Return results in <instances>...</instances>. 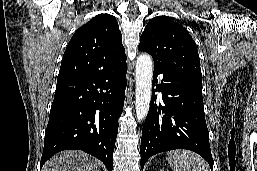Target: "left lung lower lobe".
I'll return each mask as SVG.
<instances>
[{
	"label": "left lung lower lobe",
	"instance_id": "left-lung-lower-lobe-1",
	"mask_svg": "<svg viewBox=\"0 0 257 171\" xmlns=\"http://www.w3.org/2000/svg\"><path fill=\"white\" fill-rule=\"evenodd\" d=\"M163 74L161 85L156 79ZM152 100L141 138V168L154 154L188 149L201 155L213 169L209 132L205 121L202 84L183 72L154 64ZM162 91L163 105L154 103Z\"/></svg>",
	"mask_w": 257,
	"mask_h": 171
}]
</instances>
